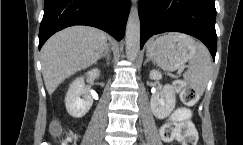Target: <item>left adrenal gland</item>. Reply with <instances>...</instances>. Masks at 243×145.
Instances as JSON below:
<instances>
[{
  "instance_id": "a2214340",
  "label": "left adrenal gland",
  "mask_w": 243,
  "mask_h": 145,
  "mask_svg": "<svg viewBox=\"0 0 243 145\" xmlns=\"http://www.w3.org/2000/svg\"><path fill=\"white\" fill-rule=\"evenodd\" d=\"M150 61V58L149 57H147V59L145 60V64L147 63V62H149Z\"/></svg>"
}]
</instances>
